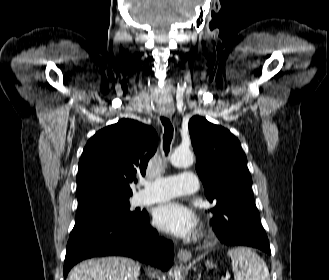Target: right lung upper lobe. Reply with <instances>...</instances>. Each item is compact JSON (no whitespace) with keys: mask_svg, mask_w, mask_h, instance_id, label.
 Returning a JSON list of instances; mask_svg holds the SVG:
<instances>
[{"mask_svg":"<svg viewBox=\"0 0 329 280\" xmlns=\"http://www.w3.org/2000/svg\"><path fill=\"white\" fill-rule=\"evenodd\" d=\"M155 130L132 119H121L91 137L81 155L77 199L104 195L129 198L130 183L145 173L157 149Z\"/></svg>","mask_w":329,"mask_h":280,"instance_id":"obj_1","label":"right lung upper lobe"}]
</instances>
